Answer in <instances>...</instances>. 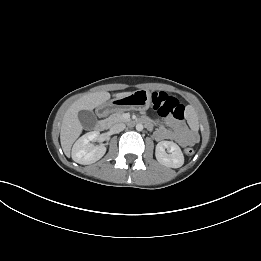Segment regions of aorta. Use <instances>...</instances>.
Listing matches in <instances>:
<instances>
[{"mask_svg": "<svg viewBox=\"0 0 261 261\" xmlns=\"http://www.w3.org/2000/svg\"><path fill=\"white\" fill-rule=\"evenodd\" d=\"M136 130H137V131H142V130H143V125L140 124V123L137 124V125H136Z\"/></svg>", "mask_w": 261, "mask_h": 261, "instance_id": "aorta-1", "label": "aorta"}]
</instances>
